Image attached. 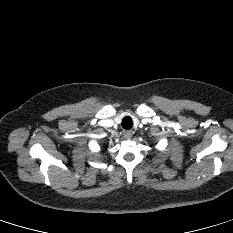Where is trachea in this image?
<instances>
[{"mask_svg": "<svg viewBox=\"0 0 233 233\" xmlns=\"http://www.w3.org/2000/svg\"><path fill=\"white\" fill-rule=\"evenodd\" d=\"M132 119L129 116H126L125 118H123L122 120V127L124 129H131L132 128Z\"/></svg>", "mask_w": 233, "mask_h": 233, "instance_id": "1", "label": "trachea"}]
</instances>
